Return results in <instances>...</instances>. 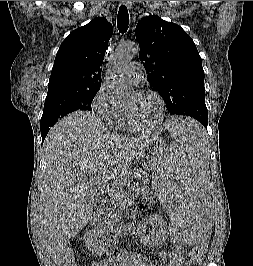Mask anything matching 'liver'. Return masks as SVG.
Listing matches in <instances>:
<instances>
[{
	"instance_id": "6515ba94",
	"label": "liver",
	"mask_w": 253,
	"mask_h": 266,
	"mask_svg": "<svg viewBox=\"0 0 253 266\" xmlns=\"http://www.w3.org/2000/svg\"><path fill=\"white\" fill-rule=\"evenodd\" d=\"M156 138L122 137L84 111L67 115L51 128L43 145L47 168L37 218L55 263L61 262L69 239L93 218L91 179L122 183L131 161Z\"/></svg>"
}]
</instances>
